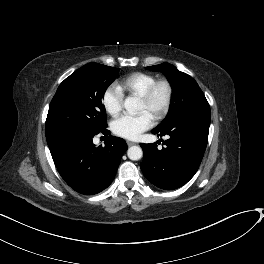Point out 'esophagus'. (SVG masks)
<instances>
[{
	"label": "esophagus",
	"instance_id": "esophagus-1",
	"mask_svg": "<svg viewBox=\"0 0 264 264\" xmlns=\"http://www.w3.org/2000/svg\"><path fill=\"white\" fill-rule=\"evenodd\" d=\"M127 145H128V146L135 145V142H133V141H127Z\"/></svg>",
	"mask_w": 264,
	"mask_h": 264
}]
</instances>
